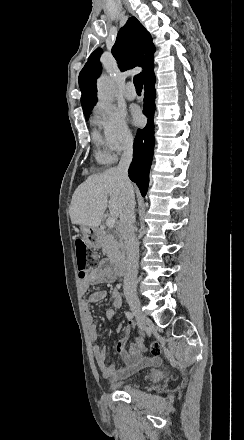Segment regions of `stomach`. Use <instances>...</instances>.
Listing matches in <instances>:
<instances>
[{
    "instance_id": "0dacf381",
    "label": "stomach",
    "mask_w": 244,
    "mask_h": 440,
    "mask_svg": "<svg viewBox=\"0 0 244 440\" xmlns=\"http://www.w3.org/2000/svg\"><path fill=\"white\" fill-rule=\"evenodd\" d=\"M80 232L84 242L89 248H98L100 246L101 232L99 228H91V226H80Z\"/></svg>"
}]
</instances>
